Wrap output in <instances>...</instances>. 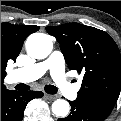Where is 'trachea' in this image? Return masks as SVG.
<instances>
[{"mask_svg":"<svg viewBox=\"0 0 121 121\" xmlns=\"http://www.w3.org/2000/svg\"><path fill=\"white\" fill-rule=\"evenodd\" d=\"M17 90L26 91L29 90V86L23 83H20L16 86ZM45 91L49 94H56L58 92L57 88L53 85H46Z\"/></svg>","mask_w":121,"mask_h":121,"instance_id":"obj_1","label":"trachea"}]
</instances>
